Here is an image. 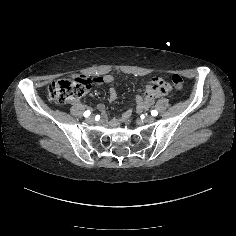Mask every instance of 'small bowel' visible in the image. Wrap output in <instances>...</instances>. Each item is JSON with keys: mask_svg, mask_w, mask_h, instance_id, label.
I'll use <instances>...</instances> for the list:
<instances>
[{"mask_svg": "<svg viewBox=\"0 0 236 236\" xmlns=\"http://www.w3.org/2000/svg\"><path fill=\"white\" fill-rule=\"evenodd\" d=\"M112 76H110V75H106V76H104L103 78H97L96 79V81L97 82H106V83H109V82H111L112 81ZM161 81H163L162 79H157V82H160L161 83ZM109 96H110V99L111 100H114L115 98H116V96H117V93H116V91H115V89H110V91H109ZM150 103H151V100L150 99H147V100H145L144 102H142L141 103V107L142 108H145V107H147L148 105H150ZM101 109H102V107H101Z\"/></svg>", "mask_w": 236, "mask_h": 236, "instance_id": "c3829d8e", "label": "small bowel"}]
</instances>
